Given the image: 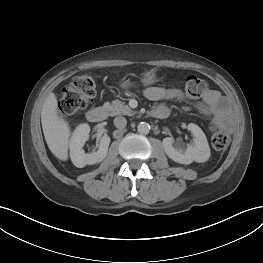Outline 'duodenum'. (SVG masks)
<instances>
[{
    "instance_id": "duodenum-1",
    "label": "duodenum",
    "mask_w": 263,
    "mask_h": 263,
    "mask_svg": "<svg viewBox=\"0 0 263 263\" xmlns=\"http://www.w3.org/2000/svg\"><path fill=\"white\" fill-rule=\"evenodd\" d=\"M154 115L157 118L164 119L169 115L167 109H161L154 111ZM107 117V109L105 107H94L87 111L86 118L92 123H100Z\"/></svg>"
}]
</instances>
